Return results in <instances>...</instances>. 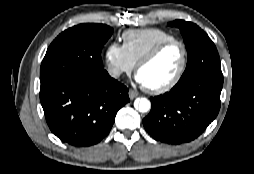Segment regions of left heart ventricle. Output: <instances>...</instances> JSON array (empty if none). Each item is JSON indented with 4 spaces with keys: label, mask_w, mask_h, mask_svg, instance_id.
Masks as SVG:
<instances>
[{
    "label": "left heart ventricle",
    "mask_w": 254,
    "mask_h": 174,
    "mask_svg": "<svg viewBox=\"0 0 254 174\" xmlns=\"http://www.w3.org/2000/svg\"><path fill=\"white\" fill-rule=\"evenodd\" d=\"M182 62V49L178 44L165 48L152 62L138 71L145 86L159 87L169 82Z\"/></svg>",
    "instance_id": "left-heart-ventricle-1"
}]
</instances>
